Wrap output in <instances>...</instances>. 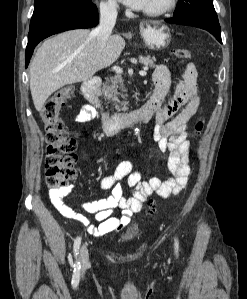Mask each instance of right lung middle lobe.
I'll return each instance as SVG.
<instances>
[{
  "instance_id": "right-lung-middle-lobe-1",
  "label": "right lung middle lobe",
  "mask_w": 247,
  "mask_h": 299,
  "mask_svg": "<svg viewBox=\"0 0 247 299\" xmlns=\"http://www.w3.org/2000/svg\"><path fill=\"white\" fill-rule=\"evenodd\" d=\"M91 4L92 0H35L30 28L61 12Z\"/></svg>"
}]
</instances>
